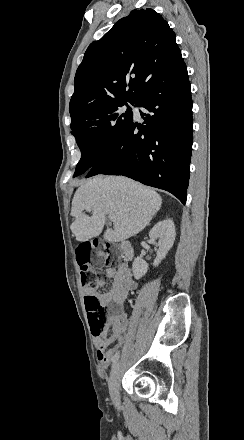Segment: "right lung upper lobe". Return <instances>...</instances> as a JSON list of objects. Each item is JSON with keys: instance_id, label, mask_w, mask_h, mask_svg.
Here are the masks:
<instances>
[{"instance_id": "obj_1", "label": "right lung upper lobe", "mask_w": 244, "mask_h": 440, "mask_svg": "<svg viewBox=\"0 0 244 440\" xmlns=\"http://www.w3.org/2000/svg\"><path fill=\"white\" fill-rule=\"evenodd\" d=\"M175 33L153 9L133 10L87 48L69 111L110 98H138L159 71L183 64Z\"/></svg>"}]
</instances>
